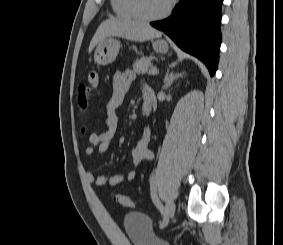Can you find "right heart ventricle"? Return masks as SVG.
Segmentation results:
<instances>
[{"label":"right heart ventricle","mask_w":283,"mask_h":245,"mask_svg":"<svg viewBox=\"0 0 283 245\" xmlns=\"http://www.w3.org/2000/svg\"><path fill=\"white\" fill-rule=\"evenodd\" d=\"M111 7L114 13L120 18H137L132 9L131 0H111Z\"/></svg>","instance_id":"right-heart-ventricle-1"}]
</instances>
